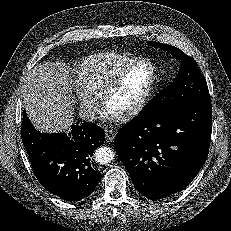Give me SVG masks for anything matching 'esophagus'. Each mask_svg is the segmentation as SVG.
Listing matches in <instances>:
<instances>
[{
  "label": "esophagus",
  "mask_w": 231,
  "mask_h": 231,
  "mask_svg": "<svg viewBox=\"0 0 231 231\" xmlns=\"http://www.w3.org/2000/svg\"><path fill=\"white\" fill-rule=\"evenodd\" d=\"M116 131L114 129L105 130V138L108 142H112L115 139Z\"/></svg>",
  "instance_id": "34e87169"
}]
</instances>
